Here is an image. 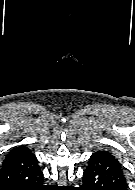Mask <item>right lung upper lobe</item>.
<instances>
[{
    "label": "right lung upper lobe",
    "mask_w": 135,
    "mask_h": 190,
    "mask_svg": "<svg viewBox=\"0 0 135 190\" xmlns=\"http://www.w3.org/2000/svg\"><path fill=\"white\" fill-rule=\"evenodd\" d=\"M26 154H32L31 151L24 146H19L14 149H12L7 156H16V155H26Z\"/></svg>",
    "instance_id": "obj_1"
}]
</instances>
